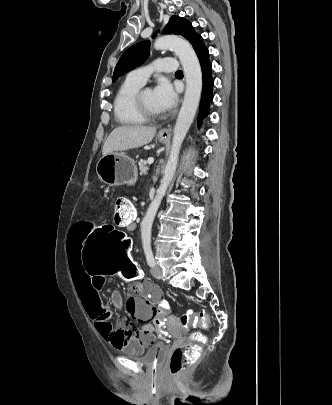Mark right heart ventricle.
I'll return each mask as SVG.
<instances>
[{
  "instance_id": "obj_1",
  "label": "right heart ventricle",
  "mask_w": 332,
  "mask_h": 405,
  "mask_svg": "<svg viewBox=\"0 0 332 405\" xmlns=\"http://www.w3.org/2000/svg\"><path fill=\"white\" fill-rule=\"evenodd\" d=\"M143 84L127 78L119 87L113 103L116 121L125 126L140 125L145 120L138 114L135 107V95Z\"/></svg>"
}]
</instances>
